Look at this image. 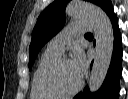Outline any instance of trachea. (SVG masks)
<instances>
[{
	"instance_id": "trachea-1",
	"label": "trachea",
	"mask_w": 128,
	"mask_h": 99,
	"mask_svg": "<svg viewBox=\"0 0 128 99\" xmlns=\"http://www.w3.org/2000/svg\"><path fill=\"white\" fill-rule=\"evenodd\" d=\"M85 35H92V33H86Z\"/></svg>"
}]
</instances>
